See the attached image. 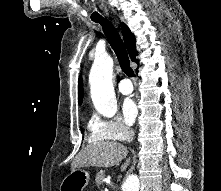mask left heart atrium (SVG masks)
<instances>
[{
  "label": "left heart atrium",
  "mask_w": 221,
  "mask_h": 191,
  "mask_svg": "<svg viewBox=\"0 0 221 191\" xmlns=\"http://www.w3.org/2000/svg\"><path fill=\"white\" fill-rule=\"evenodd\" d=\"M122 113L125 121L128 124H132L137 116L138 110L133 99L126 98L122 103Z\"/></svg>",
  "instance_id": "1"
}]
</instances>
